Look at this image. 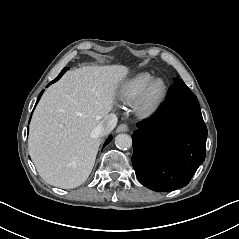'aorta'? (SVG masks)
<instances>
[{"mask_svg": "<svg viewBox=\"0 0 239 239\" xmlns=\"http://www.w3.org/2000/svg\"><path fill=\"white\" fill-rule=\"evenodd\" d=\"M115 144L119 149L123 150L128 149L132 146V138L128 134L124 133L118 134L115 137Z\"/></svg>", "mask_w": 239, "mask_h": 239, "instance_id": "1", "label": "aorta"}]
</instances>
